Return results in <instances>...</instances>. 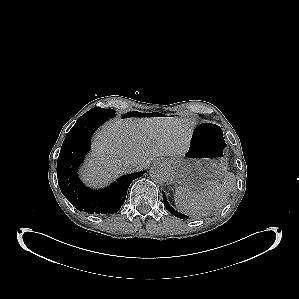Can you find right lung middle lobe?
I'll return each instance as SVG.
<instances>
[{"label": "right lung middle lobe", "mask_w": 299, "mask_h": 299, "mask_svg": "<svg viewBox=\"0 0 299 299\" xmlns=\"http://www.w3.org/2000/svg\"><path fill=\"white\" fill-rule=\"evenodd\" d=\"M115 116V111L113 109H103L100 107L92 108L88 112H86L84 115H82L78 121L85 120V119H91V118H104L108 119Z\"/></svg>", "instance_id": "dd1d6c3e"}]
</instances>
